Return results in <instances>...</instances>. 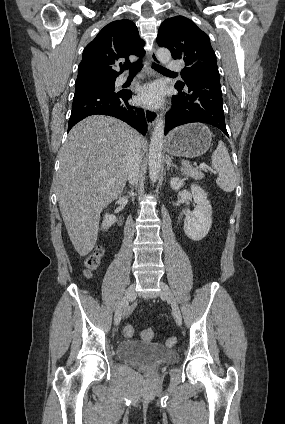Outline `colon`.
<instances>
[{
  "label": "colon",
  "mask_w": 285,
  "mask_h": 424,
  "mask_svg": "<svg viewBox=\"0 0 285 424\" xmlns=\"http://www.w3.org/2000/svg\"><path fill=\"white\" fill-rule=\"evenodd\" d=\"M104 253V248L99 246L90 255L87 256L84 262L86 275H90L93 271L97 270L100 267ZM123 334L126 337H131L134 334L133 326H125ZM141 336L144 340H152L154 337V331L152 329H145L142 331ZM175 343L176 338L174 337H171L167 340V344L173 345Z\"/></svg>",
  "instance_id": "1"
}]
</instances>
